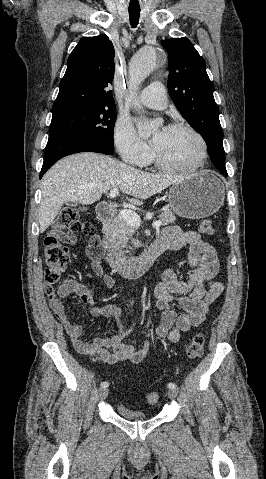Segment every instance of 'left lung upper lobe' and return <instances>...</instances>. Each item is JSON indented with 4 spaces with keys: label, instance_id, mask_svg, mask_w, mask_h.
<instances>
[{
    "label": "left lung upper lobe",
    "instance_id": "1",
    "mask_svg": "<svg viewBox=\"0 0 266 479\" xmlns=\"http://www.w3.org/2000/svg\"><path fill=\"white\" fill-rule=\"evenodd\" d=\"M161 44L169 56L170 97L181 115L205 140L214 166L226 171L219 108L204 59L187 38L162 40Z\"/></svg>",
    "mask_w": 266,
    "mask_h": 479
}]
</instances>
